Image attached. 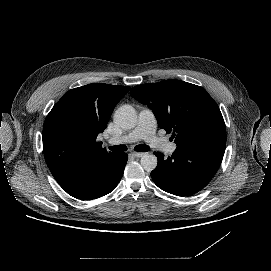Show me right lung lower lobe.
<instances>
[{"instance_id":"1","label":"right lung lower lobe","mask_w":271,"mask_h":271,"mask_svg":"<svg viewBox=\"0 0 271 271\" xmlns=\"http://www.w3.org/2000/svg\"><path fill=\"white\" fill-rule=\"evenodd\" d=\"M126 163V153L87 159L81 165L71 168L56 181L64 191L77 199H96L116 188Z\"/></svg>"}]
</instances>
